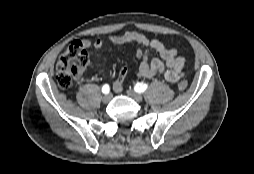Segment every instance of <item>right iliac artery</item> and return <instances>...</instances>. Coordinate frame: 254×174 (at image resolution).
Listing matches in <instances>:
<instances>
[{"label": "right iliac artery", "mask_w": 254, "mask_h": 174, "mask_svg": "<svg viewBox=\"0 0 254 174\" xmlns=\"http://www.w3.org/2000/svg\"><path fill=\"white\" fill-rule=\"evenodd\" d=\"M109 91H110L109 85L105 84V85L102 87V92H103L104 94H107V93H109Z\"/></svg>", "instance_id": "1"}]
</instances>
